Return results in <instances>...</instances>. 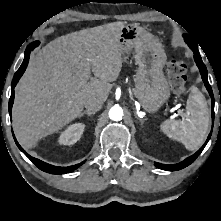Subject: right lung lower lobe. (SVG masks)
Returning <instances> with one entry per match:
<instances>
[{
	"label": "right lung lower lobe",
	"mask_w": 221,
	"mask_h": 221,
	"mask_svg": "<svg viewBox=\"0 0 221 221\" xmlns=\"http://www.w3.org/2000/svg\"><path fill=\"white\" fill-rule=\"evenodd\" d=\"M39 45L38 41L32 42L29 46H27L26 50H25V58L23 60L22 65L20 66V68L17 70V72L15 73L13 80H12V84H11V97L9 100V114L11 117V111H12V105H13V101H14V88L17 84V82L19 81L20 77L23 75L27 65H28V61H29V56H30V52L31 50H33L35 47H37ZM13 134V132H12ZM14 140L18 146V148L42 171H45L47 173H51V174H66V173H70L72 171H74L75 169L79 168L85 161L73 165V166H69V167H58V166H53L50 164H47L39 159H36L32 156H30L28 153H26V151L18 144L14 134H13Z\"/></svg>",
	"instance_id": "obj_1"
}]
</instances>
